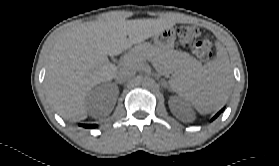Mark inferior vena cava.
<instances>
[{
    "mask_svg": "<svg viewBox=\"0 0 279 166\" xmlns=\"http://www.w3.org/2000/svg\"><path fill=\"white\" fill-rule=\"evenodd\" d=\"M135 75V71L133 69H130L128 67L120 68L119 71H117L115 78L118 82H124L127 79L133 77Z\"/></svg>",
    "mask_w": 279,
    "mask_h": 166,
    "instance_id": "obj_1",
    "label": "inferior vena cava"
}]
</instances>
